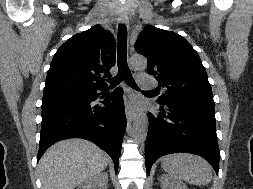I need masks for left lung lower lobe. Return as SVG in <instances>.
<instances>
[{
    "mask_svg": "<svg viewBox=\"0 0 253 189\" xmlns=\"http://www.w3.org/2000/svg\"><path fill=\"white\" fill-rule=\"evenodd\" d=\"M162 113L157 119L148 113L145 163L147 173L161 156L189 152L206 159L219 171L220 151L215 130V111L177 102H158Z\"/></svg>",
    "mask_w": 253,
    "mask_h": 189,
    "instance_id": "obj_1",
    "label": "left lung lower lobe"
}]
</instances>
